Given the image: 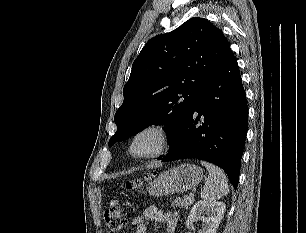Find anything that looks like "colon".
Segmentation results:
<instances>
[{
  "mask_svg": "<svg viewBox=\"0 0 306 233\" xmlns=\"http://www.w3.org/2000/svg\"><path fill=\"white\" fill-rule=\"evenodd\" d=\"M141 180L127 183L126 189H137L141 186ZM104 223L111 233L120 232L125 224V215L117 201H111L104 211Z\"/></svg>",
  "mask_w": 306,
  "mask_h": 233,
  "instance_id": "obj_1",
  "label": "colon"
}]
</instances>
